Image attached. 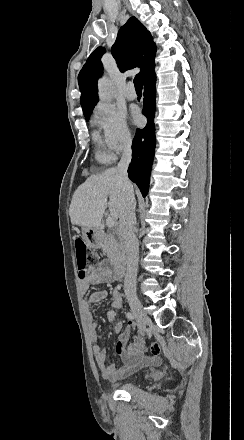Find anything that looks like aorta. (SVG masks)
Returning <instances> with one entry per match:
<instances>
[{
    "label": "aorta",
    "mask_w": 244,
    "mask_h": 440,
    "mask_svg": "<svg viewBox=\"0 0 244 440\" xmlns=\"http://www.w3.org/2000/svg\"><path fill=\"white\" fill-rule=\"evenodd\" d=\"M115 91L114 83L107 77H102L98 82V94L102 101H111Z\"/></svg>",
    "instance_id": "1"
}]
</instances>
